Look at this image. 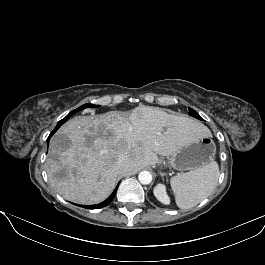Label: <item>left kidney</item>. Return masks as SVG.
I'll use <instances>...</instances> for the list:
<instances>
[{
    "label": "left kidney",
    "mask_w": 265,
    "mask_h": 265,
    "mask_svg": "<svg viewBox=\"0 0 265 265\" xmlns=\"http://www.w3.org/2000/svg\"><path fill=\"white\" fill-rule=\"evenodd\" d=\"M155 197L163 204H170V198L167 195L166 187L164 184H157L154 188Z\"/></svg>",
    "instance_id": "obj_1"
}]
</instances>
